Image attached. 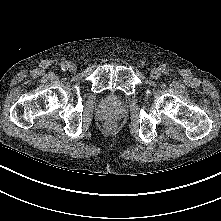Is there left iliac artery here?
Listing matches in <instances>:
<instances>
[{"mask_svg":"<svg viewBox=\"0 0 221 221\" xmlns=\"http://www.w3.org/2000/svg\"><path fill=\"white\" fill-rule=\"evenodd\" d=\"M161 70H162L163 74H165V75L168 74V69L167 68L162 67Z\"/></svg>","mask_w":221,"mask_h":221,"instance_id":"left-iliac-artery-1","label":"left iliac artery"}]
</instances>
